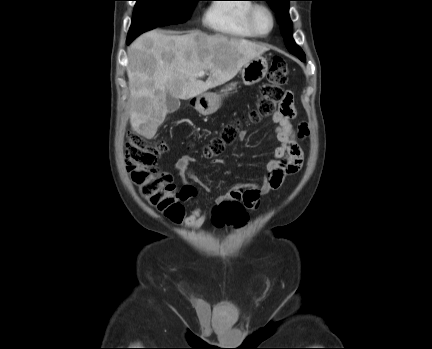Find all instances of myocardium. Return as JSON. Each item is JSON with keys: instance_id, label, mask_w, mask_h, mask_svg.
Instances as JSON below:
<instances>
[{"instance_id": "1", "label": "myocardium", "mask_w": 432, "mask_h": 349, "mask_svg": "<svg viewBox=\"0 0 432 349\" xmlns=\"http://www.w3.org/2000/svg\"><path fill=\"white\" fill-rule=\"evenodd\" d=\"M260 10L267 12L270 19H271V27L265 33L260 32L258 30V28L256 26V22H255L256 13ZM246 22H247L248 28L251 30V32L256 37L264 38V37H267L268 35H270L271 32L274 30L275 25H276V18H275V15H274L272 9L270 7H268L267 5H265V4H253L248 10Z\"/></svg>"}]
</instances>
